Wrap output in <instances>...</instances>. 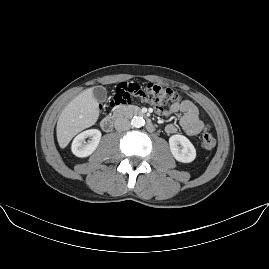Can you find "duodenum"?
<instances>
[{
    "label": "duodenum",
    "mask_w": 269,
    "mask_h": 269,
    "mask_svg": "<svg viewBox=\"0 0 269 269\" xmlns=\"http://www.w3.org/2000/svg\"><path fill=\"white\" fill-rule=\"evenodd\" d=\"M122 115H135V116L144 117L147 130L150 132H153L155 130L154 123L150 119L147 118L146 113L136 107H128V108L119 109L112 114L106 115L101 120V123H100L101 128L106 132L111 131L114 127V124L117 118H119Z\"/></svg>",
    "instance_id": "410a0bca"
}]
</instances>
